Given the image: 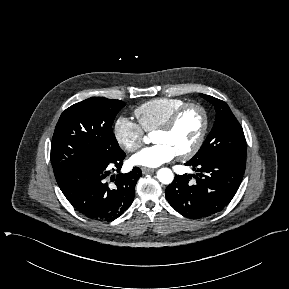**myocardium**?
Returning <instances> with one entry per match:
<instances>
[{
  "instance_id": "myocardium-1",
  "label": "myocardium",
  "mask_w": 289,
  "mask_h": 289,
  "mask_svg": "<svg viewBox=\"0 0 289 289\" xmlns=\"http://www.w3.org/2000/svg\"><path fill=\"white\" fill-rule=\"evenodd\" d=\"M190 109H195L200 112L201 117H202V126L198 134V137L193 143V145L188 150L177 155L181 160H187L193 157L200 150L202 144L204 143V140L208 132V127H209V116H208L206 109L199 103L187 102L181 107H179L178 109H176L170 115V117L155 130V132L172 131L174 127L176 126V124L178 123L181 116Z\"/></svg>"
}]
</instances>
